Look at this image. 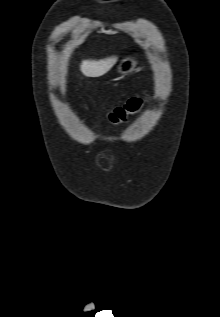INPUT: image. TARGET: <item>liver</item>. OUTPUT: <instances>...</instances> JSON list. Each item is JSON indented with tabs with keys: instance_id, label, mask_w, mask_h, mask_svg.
Masks as SVG:
<instances>
[{
	"instance_id": "1",
	"label": "liver",
	"mask_w": 220,
	"mask_h": 317,
	"mask_svg": "<svg viewBox=\"0 0 220 317\" xmlns=\"http://www.w3.org/2000/svg\"><path fill=\"white\" fill-rule=\"evenodd\" d=\"M117 57H109L102 60H84L80 65V70L86 77H100L107 73L116 63Z\"/></svg>"
}]
</instances>
